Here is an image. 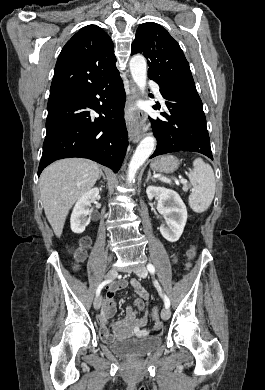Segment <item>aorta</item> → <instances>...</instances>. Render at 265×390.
<instances>
[{"mask_svg":"<svg viewBox=\"0 0 265 390\" xmlns=\"http://www.w3.org/2000/svg\"><path fill=\"white\" fill-rule=\"evenodd\" d=\"M130 71L134 82L141 91L142 94L146 92L147 83V63L146 59L142 55H134L129 63ZM155 147V140L153 136L148 135L137 146L135 153L133 154L127 174V181L131 183L135 180V175L138 169L144 164V162L152 154Z\"/></svg>","mask_w":265,"mask_h":390,"instance_id":"aorta-1","label":"aorta"}]
</instances>
